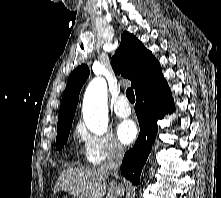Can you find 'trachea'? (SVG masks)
<instances>
[{
  "instance_id": "3493384b",
  "label": "trachea",
  "mask_w": 221,
  "mask_h": 198,
  "mask_svg": "<svg viewBox=\"0 0 221 198\" xmlns=\"http://www.w3.org/2000/svg\"><path fill=\"white\" fill-rule=\"evenodd\" d=\"M126 96L131 103L135 102V95L133 89L128 88L126 91Z\"/></svg>"
}]
</instances>
